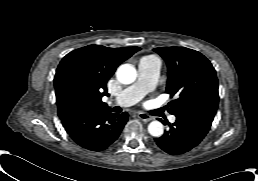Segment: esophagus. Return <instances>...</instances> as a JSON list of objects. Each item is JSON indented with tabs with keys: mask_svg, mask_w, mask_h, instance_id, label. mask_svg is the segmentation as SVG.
<instances>
[{
	"mask_svg": "<svg viewBox=\"0 0 258 181\" xmlns=\"http://www.w3.org/2000/svg\"><path fill=\"white\" fill-rule=\"evenodd\" d=\"M137 117H138L140 120H142L143 122H149V121H151V120L153 119L152 116H150L149 114L144 113V112H139V113L137 114Z\"/></svg>",
	"mask_w": 258,
	"mask_h": 181,
	"instance_id": "1",
	"label": "esophagus"
}]
</instances>
